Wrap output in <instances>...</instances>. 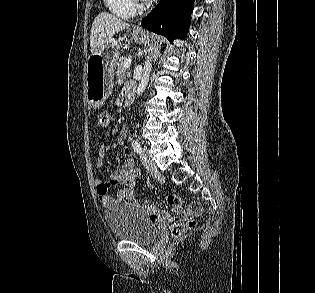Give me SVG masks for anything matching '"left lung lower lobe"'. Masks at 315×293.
I'll use <instances>...</instances> for the list:
<instances>
[{
	"label": "left lung lower lobe",
	"instance_id": "obj_1",
	"mask_svg": "<svg viewBox=\"0 0 315 293\" xmlns=\"http://www.w3.org/2000/svg\"><path fill=\"white\" fill-rule=\"evenodd\" d=\"M194 0H160L157 6L142 19L141 25L170 42L185 39Z\"/></svg>",
	"mask_w": 315,
	"mask_h": 293
}]
</instances>
